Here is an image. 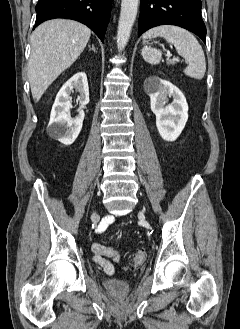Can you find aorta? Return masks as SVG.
Here are the masks:
<instances>
[{"instance_id": "aorta-1", "label": "aorta", "mask_w": 240, "mask_h": 329, "mask_svg": "<svg viewBox=\"0 0 240 329\" xmlns=\"http://www.w3.org/2000/svg\"><path fill=\"white\" fill-rule=\"evenodd\" d=\"M139 0H122L117 30V48L122 51L131 35L138 12Z\"/></svg>"}]
</instances>
